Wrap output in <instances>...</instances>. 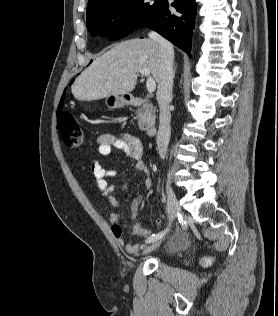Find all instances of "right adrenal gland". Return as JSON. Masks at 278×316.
Wrapping results in <instances>:
<instances>
[{
    "mask_svg": "<svg viewBox=\"0 0 278 316\" xmlns=\"http://www.w3.org/2000/svg\"><path fill=\"white\" fill-rule=\"evenodd\" d=\"M175 72H176V65H175V67H174V76H175Z\"/></svg>",
    "mask_w": 278,
    "mask_h": 316,
    "instance_id": "obj_1",
    "label": "right adrenal gland"
}]
</instances>
